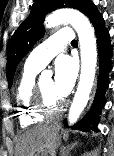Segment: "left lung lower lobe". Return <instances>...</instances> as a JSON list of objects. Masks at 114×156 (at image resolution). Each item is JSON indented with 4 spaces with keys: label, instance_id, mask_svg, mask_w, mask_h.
Listing matches in <instances>:
<instances>
[{
    "label": "left lung lower lobe",
    "instance_id": "1",
    "mask_svg": "<svg viewBox=\"0 0 114 156\" xmlns=\"http://www.w3.org/2000/svg\"><path fill=\"white\" fill-rule=\"evenodd\" d=\"M87 16L92 22L97 37L98 51H99V77L97 91L88 113L85 117L77 124L73 126L74 129H79L81 131H98L97 124L99 122V114L101 108L105 104V91L109 85L108 74L112 69L111 57L113 54V48L110 44V35L105 28L104 19L102 15L98 12L95 5H92L89 9ZM64 124H67V121L64 120Z\"/></svg>",
    "mask_w": 114,
    "mask_h": 156
}]
</instances>
